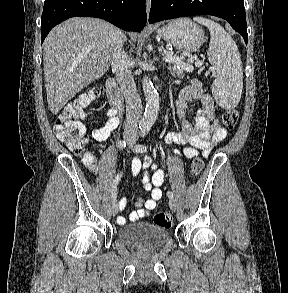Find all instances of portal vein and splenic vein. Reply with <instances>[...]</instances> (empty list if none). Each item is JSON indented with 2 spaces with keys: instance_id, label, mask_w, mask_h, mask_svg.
Listing matches in <instances>:
<instances>
[{
  "instance_id": "portal-vein-and-splenic-vein-1",
  "label": "portal vein and splenic vein",
  "mask_w": 288,
  "mask_h": 293,
  "mask_svg": "<svg viewBox=\"0 0 288 293\" xmlns=\"http://www.w3.org/2000/svg\"><path fill=\"white\" fill-rule=\"evenodd\" d=\"M97 55H92V58H96ZM165 61L169 63L176 64L178 67L183 68L187 72H192L194 70V67L190 64L185 63L181 59L175 57L172 53H166L165 57L163 58ZM198 66H201V63H197ZM210 71L214 72V69L211 68Z\"/></svg>"
}]
</instances>
